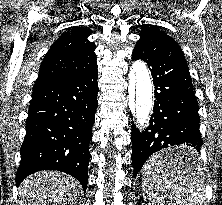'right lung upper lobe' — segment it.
Masks as SVG:
<instances>
[{"label":"right lung upper lobe","instance_id":"obj_1","mask_svg":"<svg viewBox=\"0 0 222 205\" xmlns=\"http://www.w3.org/2000/svg\"><path fill=\"white\" fill-rule=\"evenodd\" d=\"M89 28H72L62 34L45 55L35 83L73 77L97 66L95 44L87 40Z\"/></svg>","mask_w":222,"mask_h":205}]
</instances>
